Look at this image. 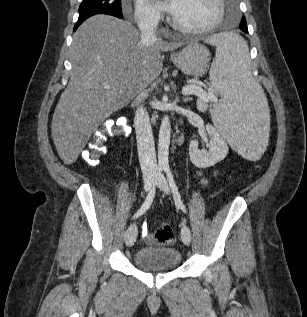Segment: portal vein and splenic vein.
Instances as JSON below:
<instances>
[{
  "label": "portal vein and splenic vein",
  "instance_id": "1",
  "mask_svg": "<svg viewBox=\"0 0 307 317\" xmlns=\"http://www.w3.org/2000/svg\"><path fill=\"white\" fill-rule=\"evenodd\" d=\"M105 89H109L110 86L106 84ZM183 94H189V95H196L198 96L201 100L204 101H213L217 102V97L212 91H205L202 87L196 84H189L183 87L182 89Z\"/></svg>",
  "mask_w": 307,
  "mask_h": 317
}]
</instances>
